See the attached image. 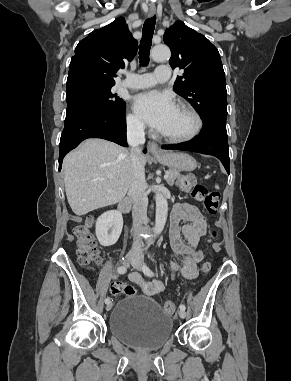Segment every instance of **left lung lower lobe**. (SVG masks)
I'll list each match as a JSON object with an SVG mask.
<instances>
[{
	"instance_id": "1",
	"label": "left lung lower lobe",
	"mask_w": 291,
	"mask_h": 381,
	"mask_svg": "<svg viewBox=\"0 0 291 381\" xmlns=\"http://www.w3.org/2000/svg\"><path fill=\"white\" fill-rule=\"evenodd\" d=\"M162 148L213 155L220 159L229 173V150L225 121H207L203 123L201 133L194 140L182 144L164 145Z\"/></svg>"
}]
</instances>
